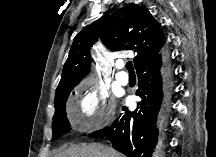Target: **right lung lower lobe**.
Masks as SVG:
<instances>
[{"instance_id":"1","label":"right lung lower lobe","mask_w":216,"mask_h":157,"mask_svg":"<svg viewBox=\"0 0 216 157\" xmlns=\"http://www.w3.org/2000/svg\"><path fill=\"white\" fill-rule=\"evenodd\" d=\"M138 107L128 111L123 107L110 127L95 131L90 136L106 137L113 148L127 157H156L152 153L163 144V132L168 114L169 90L167 63L160 53L137 69Z\"/></svg>"}]
</instances>
